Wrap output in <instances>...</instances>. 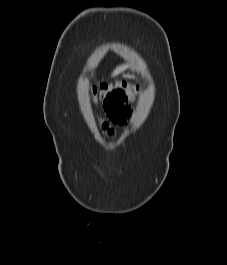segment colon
I'll use <instances>...</instances> for the list:
<instances>
[{"label": "colon", "mask_w": 227, "mask_h": 265, "mask_svg": "<svg viewBox=\"0 0 227 265\" xmlns=\"http://www.w3.org/2000/svg\"><path fill=\"white\" fill-rule=\"evenodd\" d=\"M95 103H101L108 123L123 124L130 113V101L137 89L127 83L116 81L93 86L89 90Z\"/></svg>", "instance_id": "5ec220e1"}]
</instances>
